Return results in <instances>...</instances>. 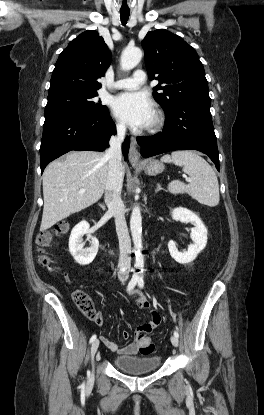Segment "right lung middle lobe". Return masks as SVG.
<instances>
[{
	"label": "right lung middle lobe",
	"instance_id": "dd1d6c3e",
	"mask_svg": "<svg viewBox=\"0 0 264 415\" xmlns=\"http://www.w3.org/2000/svg\"><path fill=\"white\" fill-rule=\"evenodd\" d=\"M97 91L64 92L48 97L45 118L63 114H98L108 111L105 105L96 99Z\"/></svg>",
	"mask_w": 264,
	"mask_h": 415
}]
</instances>
